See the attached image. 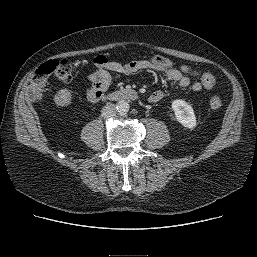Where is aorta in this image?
I'll use <instances>...</instances> for the list:
<instances>
[{
  "mask_svg": "<svg viewBox=\"0 0 257 257\" xmlns=\"http://www.w3.org/2000/svg\"><path fill=\"white\" fill-rule=\"evenodd\" d=\"M129 103L125 100H120L118 101L117 105H116V109L120 114H125L129 111Z\"/></svg>",
  "mask_w": 257,
  "mask_h": 257,
  "instance_id": "762f6f07",
  "label": "aorta"
}]
</instances>
